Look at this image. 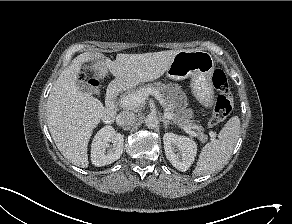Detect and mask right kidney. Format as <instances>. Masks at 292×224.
<instances>
[{
  "instance_id": "right-kidney-1",
  "label": "right kidney",
  "mask_w": 292,
  "mask_h": 224,
  "mask_svg": "<svg viewBox=\"0 0 292 224\" xmlns=\"http://www.w3.org/2000/svg\"><path fill=\"white\" fill-rule=\"evenodd\" d=\"M108 142L113 147L108 150ZM124 148V136L115 131L112 126H105L97 132L91 144V161L97 167L111 164L120 159Z\"/></svg>"
}]
</instances>
